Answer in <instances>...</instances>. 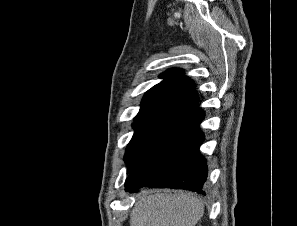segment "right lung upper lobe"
Segmentation results:
<instances>
[{"label": "right lung upper lobe", "instance_id": "1", "mask_svg": "<svg viewBox=\"0 0 297 226\" xmlns=\"http://www.w3.org/2000/svg\"><path fill=\"white\" fill-rule=\"evenodd\" d=\"M160 77L164 80L146 92L135 120L168 121L199 101L194 82L181 69H169Z\"/></svg>", "mask_w": 297, "mask_h": 226}]
</instances>
